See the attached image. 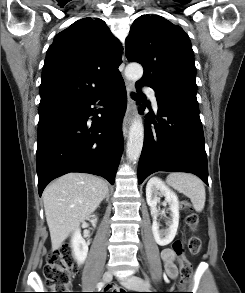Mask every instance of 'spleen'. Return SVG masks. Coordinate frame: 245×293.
I'll list each match as a JSON object with an SVG mask.
<instances>
[{
	"label": "spleen",
	"mask_w": 245,
	"mask_h": 293,
	"mask_svg": "<svg viewBox=\"0 0 245 293\" xmlns=\"http://www.w3.org/2000/svg\"><path fill=\"white\" fill-rule=\"evenodd\" d=\"M166 182L175 190L190 198L197 212L203 210L206 193L204 184L198 177L188 173L176 172L169 174Z\"/></svg>",
	"instance_id": "spleen-1"
}]
</instances>
